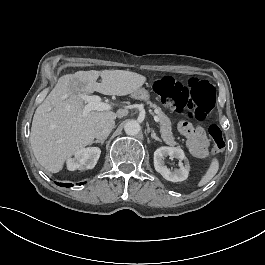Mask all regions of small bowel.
Listing matches in <instances>:
<instances>
[{
    "instance_id": "1",
    "label": "small bowel",
    "mask_w": 265,
    "mask_h": 265,
    "mask_svg": "<svg viewBox=\"0 0 265 265\" xmlns=\"http://www.w3.org/2000/svg\"><path fill=\"white\" fill-rule=\"evenodd\" d=\"M178 129L187 138V144L193 156L199 159L209 156V142L202 127H193L190 123L182 121Z\"/></svg>"
}]
</instances>
